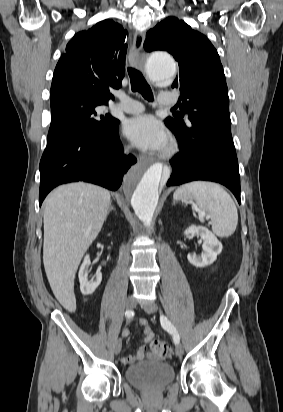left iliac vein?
I'll use <instances>...</instances> for the list:
<instances>
[{
	"mask_svg": "<svg viewBox=\"0 0 283 412\" xmlns=\"http://www.w3.org/2000/svg\"><path fill=\"white\" fill-rule=\"evenodd\" d=\"M144 310L148 314L155 313L158 310V306L154 302H149L143 306ZM175 353L178 357H181L183 354V348L181 344L177 343L175 346Z\"/></svg>",
	"mask_w": 283,
	"mask_h": 412,
	"instance_id": "left-iliac-vein-1",
	"label": "left iliac vein"
}]
</instances>
